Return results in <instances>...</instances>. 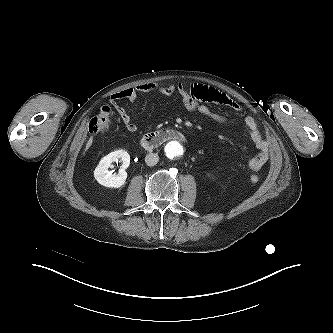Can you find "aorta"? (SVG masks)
<instances>
[{
  "label": "aorta",
  "mask_w": 333,
  "mask_h": 333,
  "mask_svg": "<svg viewBox=\"0 0 333 333\" xmlns=\"http://www.w3.org/2000/svg\"><path fill=\"white\" fill-rule=\"evenodd\" d=\"M165 152L167 157L171 159L179 158L183 155V145L178 141H171L166 145Z\"/></svg>",
  "instance_id": "obj_1"
}]
</instances>
